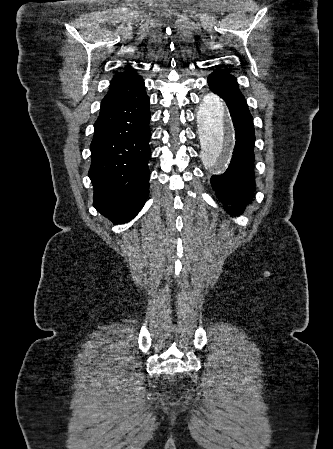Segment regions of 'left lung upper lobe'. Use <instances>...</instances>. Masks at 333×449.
I'll return each mask as SVG.
<instances>
[{"label": "left lung upper lobe", "mask_w": 333, "mask_h": 449, "mask_svg": "<svg viewBox=\"0 0 333 449\" xmlns=\"http://www.w3.org/2000/svg\"><path fill=\"white\" fill-rule=\"evenodd\" d=\"M221 72H225L224 70H221ZM225 73H227V72H225Z\"/></svg>", "instance_id": "5c2ea615"}]
</instances>
